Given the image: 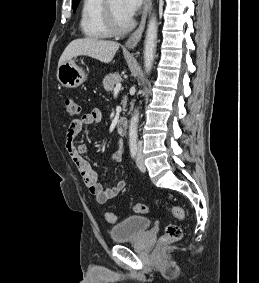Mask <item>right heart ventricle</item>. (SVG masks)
<instances>
[{"mask_svg":"<svg viewBox=\"0 0 259 283\" xmlns=\"http://www.w3.org/2000/svg\"><path fill=\"white\" fill-rule=\"evenodd\" d=\"M103 4L104 0H83L80 27L88 38L104 39L112 35L105 22Z\"/></svg>","mask_w":259,"mask_h":283,"instance_id":"e07e8e85","label":"right heart ventricle"}]
</instances>
